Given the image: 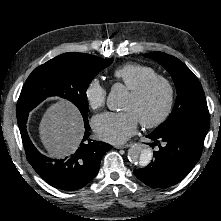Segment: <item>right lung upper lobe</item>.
Wrapping results in <instances>:
<instances>
[{
	"instance_id": "right-lung-upper-lobe-1",
	"label": "right lung upper lobe",
	"mask_w": 221,
	"mask_h": 221,
	"mask_svg": "<svg viewBox=\"0 0 221 221\" xmlns=\"http://www.w3.org/2000/svg\"><path fill=\"white\" fill-rule=\"evenodd\" d=\"M67 54H72L74 56H77V57H81V58H84V57H87L88 54H82V53H67Z\"/></svg>"
}]
</instances>
